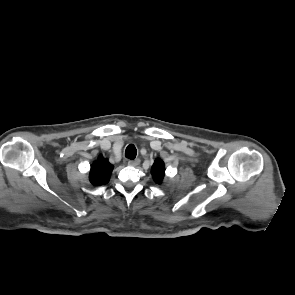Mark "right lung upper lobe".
<instances>
[{
  "mask_svg": "<svg viewBox=\"0 0 295 295\" xmlns=\"http://www.w3.org/2000/svg\"><path fill=\"white\" fill-rule=\"evenodd\" d=\"M113 165L102 155L93 162L89 174L90 182L95 186L105 185L109 182Z\"/></svg>",
  "mask_w": 295,
  "mask_h": 295,
  "instance_id": "right-lung-upper-lobe-1",
  "label": "right lung upper lobe"
}]
</instances>
